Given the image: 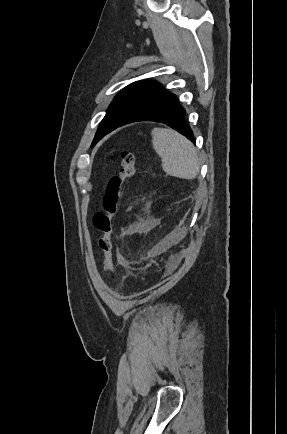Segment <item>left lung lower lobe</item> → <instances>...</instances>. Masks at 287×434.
<instances>
[{
  "mask_svg": "<svg viewBox=\"0 0 287 434\" xmlns=\"http://www.w3.org/2000/svg\"><path fill=\"white\" fill-rule=\"evenodd\" d=\"M185 109L178 103L176 96L170 94L165 99L155 102L128 118L121 126L136 121H156L179 131L189 140L195 141L190 126L185 121Z\"/></svg>",
  "mask_w": 287,
  "mask_h": 434,
  "instance_id": "obj_1",
  "label": "left lung lower lobe"
}]
</instances>
